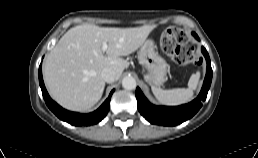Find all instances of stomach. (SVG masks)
<instances>
[{"label": "stomach", "mask_w": 258, "mask_h": 158, "mask_svg": "<svg viewBox=\"0 0 258 158\" xmlns=\"http://www.w3.org/2000/svg\"><path fill=\"white\" fill-rule=\"evenodd\" d=\"M139 63L146 69L145 79L152 85L160 86L164 83L167 73V63L158 54L156 45L152 40H146L139 52Z\"/></svg>", "instance_id": "obj_1"}]
</instances>
